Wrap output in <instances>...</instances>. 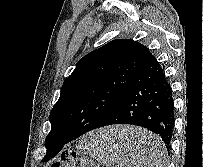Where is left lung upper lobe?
<instances>
[{"label": "left lung upper lobe", "mask_w": 203, "mask_h": 167, "mask_svg": "<svg viewBox=\"0 0 203 167\" xmlns=\"http://www.w3.org/2000/svg\"><path fill=\"white\" fill-rule=\"evenodd\" d=\"M151 56L141 43L117 39L81 58L64 81L59 100L51 110L47 150L57 141L68 143L98 128ZM47 160L45 155L43 161Z\"/></svg>", "instance_id": "obj_1"}]
</instances>
